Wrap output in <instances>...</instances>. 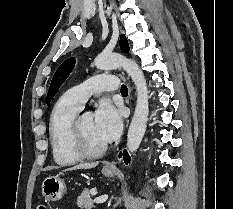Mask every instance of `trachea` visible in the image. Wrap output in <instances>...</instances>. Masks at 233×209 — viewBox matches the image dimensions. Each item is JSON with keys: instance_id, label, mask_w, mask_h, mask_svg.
<instances>
[{"instance_id": "1", "label": "trachea", "mask_w": 233, "mask_h": 209, "mask_svg": "<svg viewBox=\"0 0 233 209\" xmlns=\"http://www.w3.org/2000/svg\"><path fill=\"white\" fill-rule=\"evenodd\" d=\"M121 94H128V88L125 84L121 85V89H120Z\"/></svg>"}]
</instances>
